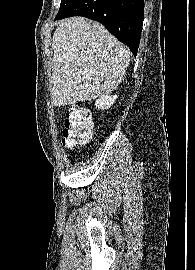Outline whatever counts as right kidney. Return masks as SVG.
<instances>
[{
  "instance_id": "ca27d5eb",
  "label": "right kidney",
  "mask_w": 195,
  "mask_h": 270,
  "mask_svg": "<svg viewBox=\"0 0 195 270\" xmlns=\"http://www.w3.org/2000/svg\"><path fill=\"white\" fill-rule=\"evenodd\" d=\"M118 98L117 95H106L103 97H100L98 100H96L95 105L98 109H109L116 101V99Z\"/></svg>"
}]
</instances>
